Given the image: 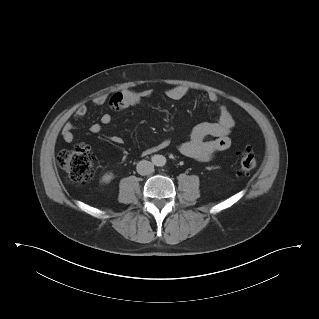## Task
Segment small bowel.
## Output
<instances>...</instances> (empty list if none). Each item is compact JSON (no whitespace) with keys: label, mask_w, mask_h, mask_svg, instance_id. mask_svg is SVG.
Listing matches in <instances>:
<instances>
[{"label":"small bowel","mask_w":319,"mask_h":319,"mask_svg":"<svg viewBox=\"0 0 319 319\" xmlns=\"http://www.w3.org/2000/svg\"><path fill=\"white\" fill-rule=\"evenodd\" d=\"M188 93V88L183 85H176L166 91V95L171 100H180ZM152 91L144 89L140 91L126 90L121 93L122 108H128L137 105L141 100L149 98ZM207 98L212 103H217L219 100L215 92H208ZM110 104L109 97L106 94H100L93 100V104L97 107H102ZM87 114V107L80 105L75 112V119L80 120ZM112 116L109 113H104L100 117V121L90 126V132L100 134L103 127L110 124ZM235 125L227 106L220 104L218 106V118L213 122H205L196 125L190 133L189 139L178 145V151L191 159L197 161H210L218 152H222L229 148V134ZM76 126L72 122H67L61 131L62 139L66 143H71L75 139L74 131ZM108 140L115 144H122L123 140L118 135L108 136ZM169 146V141L163 140L155 146L143 150V154L149 155L156 151L166 149Z\"/></svg>","instance_id":"small-bowel-1"}]
</instances>
